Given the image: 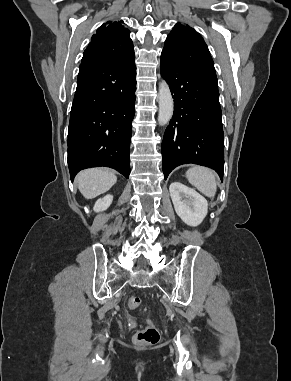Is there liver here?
I'll return each mask as SVG.
<instances>
[{"label": "liver", "instance_id": "obj_1", "mask_svg": "<svg viewBox=\"0 0 291 381\" xmlns=\"http://www.w3.org/2000/svg\"><path fill=\"white\" fill-rule=\"evenodd\" d=\"M76 181L79 191L86 199H93L107 192L117 181L111 171L94 168L81 171Z\"/></svg>", "mask_w": 291, "mask_h": 381}]
</instances>
